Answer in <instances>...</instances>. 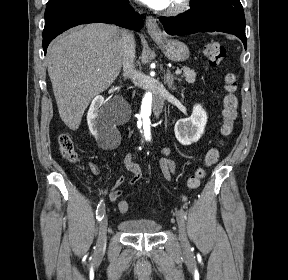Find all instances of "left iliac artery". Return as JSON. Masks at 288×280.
Returning a JSON list of instances; mask_svg holds the SVG:
<instances>
[{
    "instance_id": "left-iliac-artery-1",
    "label": "left iliac artery",
    "mask_w": 288,
    "mask_h": 280,
    "mask_svg": "<svg viewBox=\"0 0 288 280\" xmlns=\"http://www.w3.org/2000/svg\"><path fill=\"white\" fill-rule=\"evenodd\" d=\"M179 214H183L184 217L186 218V213H185V209H184V206H183V205H180V206H179Z\"/></svg>"
}]
</instances>
